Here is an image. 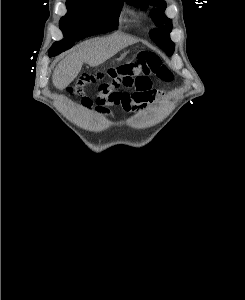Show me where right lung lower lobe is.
Instances as JSON below:
<instances>
[{"label":"right lung lower lobe","mask_w":245,"mask_h":300,"mask_svg":"<svg viewBox=\"0 0 245 300\" xmlns=\"http://www.w3.org/2000/svg\"><path fill=\"white\" fill-rule=\"evenodd\" d=\"M78 26L85 32V37H89L95 34L103 33L102 25L99 21L93 19H86L78 22ZM49 56H52L49 54Z\"/></svg>","instance_id":"98d812e1"}]
</instances>
